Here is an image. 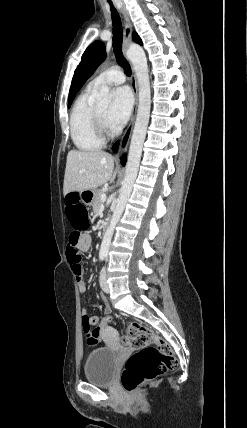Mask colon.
<instances>
[{
	"label": "colon",
	"mask_w": 247,
	"mask_h": 428,
	"mask_svg": "<svg viewBox=\"0 0 247 428\" xmlns=\"http://www.w3.org/2000/svg\"><path fill=\"white\" fill-rule=\"evenodd\" d=\"M65 227L72 232L69 237L68 250L80 261L77 244L80 232H88L91 224L90 217H86V203L76 194H69L63 200ZM103 316L92 329L86 318L82 320L86 343L90 347L97 346L99 336L110 328L112 309L103 308L100 311ZM123 343L130 348L137 349L126 361L121 382L124 389L135 392L144 383L154 380L177 366V359L170 345L155 334L150 328L140 323H131L126 330Z\"/></svg>",
	"instance_id": "obj_1"
}]
</instances>
